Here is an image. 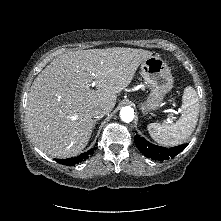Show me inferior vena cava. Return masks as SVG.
<instances>
[{
	"label": "inferior vena cava",
	"mask_w": 221,
	"mask_h": 221,
	"mask_svg": "<svg viewBox=\"0 0 221 221\" xmlns=\"http://www.w3.org/2000/svg\"><path fill=\"white\" fill-rule=\"evenodd\" d=\"M107 113H108V109L104 106H93L90 109L91 116L97 119L102 118Z\"/></svg>",
	"instance_id": "obj_1"
}]
</instances>
